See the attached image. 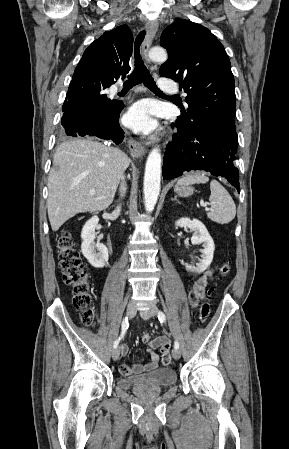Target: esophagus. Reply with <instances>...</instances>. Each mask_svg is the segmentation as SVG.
<instances>
[{"mask_svg": "<svg viewBox=\"0 0 289 449\" xmlns=\"http://www.w3.org/2000/svg\"><path fill=\"white\" fill-rule=\"evenodd\" d=\"M157 23L154 21H148L146 23V31L147 35L145 38V41L142 45V55L144 59L147 61L148 64H150L149 58H148V50L150 48V45L152 43V40L157 32ZM129 150L134 153L137 156H143L146 153V150L141 142L136 140H130L128 144Z\"/></svg>", "mask_w": 289, "mask_h": 449, "instance_id": "1", "label": "esophagus"}]
</instances>
